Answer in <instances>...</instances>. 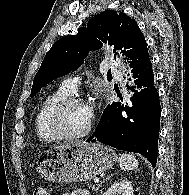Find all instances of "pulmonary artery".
<instances>
[{
  "mask_svg": "<svg viewBox=\"0 0 189 195\" xmlns=\"http://www.w3.org/2000/svg\"><path fill=\"white\" fill-rule=\"evenodd\" d=\"M78 82V78H68L62 82L61 87L69 93H74L77 90Z\"/></svg>",
  "mask_w": 189,
  "mask_h": 195,
  "instance_id": "1",
  "label": "pulmonary artery"
}]
</instances>
